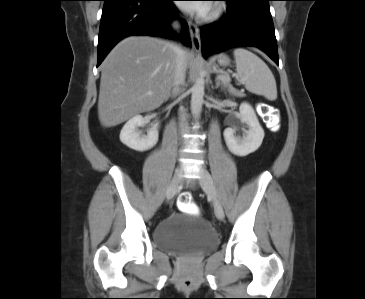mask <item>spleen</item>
Listing matches in <instances>:
<instances>
[{
    "label": "spleen",
    "mask_w": 365,
    "mask_h": 299,
    "mask_svg": "<svg viewBox=\"0 0 365 299\" xmlns=\"http://www.w3.org/2000/svg\"><path fill=\"white\" fill-rule=\"evenodd\" d=\"M236 61L237 78L252 93L263 95L269 100L277 98L275 78L266 63L256 54L244 48L233 52Z\"/></svg>",
    "instance_id": "obj_1"
}]
</instances>
